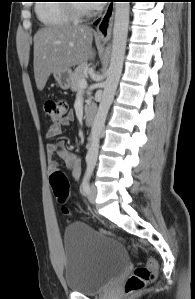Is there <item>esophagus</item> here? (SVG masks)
Segmentation results:
<instances>
[{
    "label": "esophagus",
    "instance_id": "1",
    "mask_svg": "<svg viewBox=\"0 0 195 299\" xmlns=\"http://www.w3.org/2000/svg\"><path fill=\"white\" fill-rule=\"evenodd\" d=\"M114 3L109 2L97 26V33L100 38L108 39L111 37L114 20Z\"/></svg>",
    "mask_w": 195,
    "mask_h": 299
}]
</instances>
